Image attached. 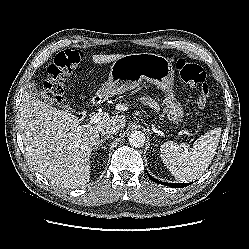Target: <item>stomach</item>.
<instances>
[{"label": "stomach", "instance_id": "stomach-1", "mask_svg": "<svg viewBox=\"0 0 249 249\" xmlns=\"http://www.w3.org/2000/svg\"><path fill=\"white\" fill-rule=\"evenodd\" d=\"M142 80L156 85L165 93L164 112L169 121L178 124L184 112L173 93L174 69L171 61L159 54L136 53L116 59L110 67L108 80L97 94L101 97L122 94L138 87Z\"/></svg>", "mask_w": 249, "mask_h": 249}]
</instances>
